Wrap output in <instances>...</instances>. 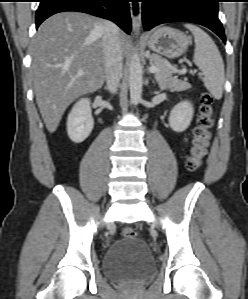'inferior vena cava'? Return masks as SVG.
Segmentation results:
<instances>
[{"label":"inferior vena cava","mask_w":248,"mask_h":299,"mask_svg":"<svg viewBox=\"0 0 248 299\" xmlns=\"http://www.w3.org/2000/svg\"><path fill=\"white\" fill-rule=\"evenodd\" d=\"M103 46L106 66L107 87L111 93H116L122 76V50L119 41L118 27L105 21L103 26Z\"/></svg>","instance_id":"inferior-vena-cava-1"}]
</instances>
